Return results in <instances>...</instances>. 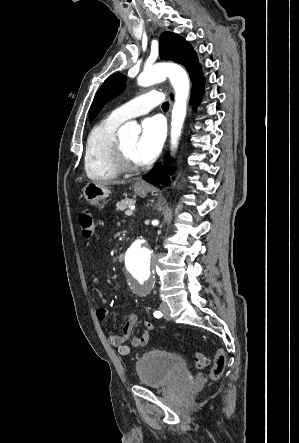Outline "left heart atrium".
Segmentation results:
<instances>
[{
    "instance_id": "left-heart-atrium-1",
    "label": "left heart atrium",
    "mask_w": 299,
    "mask_h": 443,
    "mask_svg": "<svg viewBox=\"0 0 299 443\" xmlns=\"http://www.w3.org/2000/svg\"><path fill=\"white\" fill-rule=\"evenodd\" d=\"M164 134V123L159 116L148 117L142 122V131L136 146V157L140 164L150 163L156 158Z\"/></svg>"
}]
</instances>
